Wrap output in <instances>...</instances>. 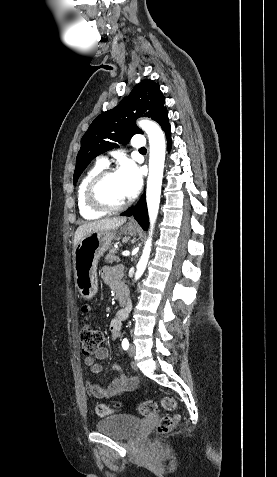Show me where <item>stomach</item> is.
<instances>
[{
    "mask_svg": "<svg viewBox=\"0 0 277 477\" xmlns=\"http://www.w3.org/2000/svg\"><path fill=\"white\" fill-rule=\"evenodd\" d=\"M138 230V226L132 224H126L122 228L124 234L131 236L135 235ZM115 238L116 233L112 231H97L84 236L75 247V286L83 299L90 300L97 293V264Z\"/></svg>",
    "mask_w": 277,
    "mask_h": 477,
    "instance_id": "stomach-1",
    "label": "stomach"
}]
</instances>
